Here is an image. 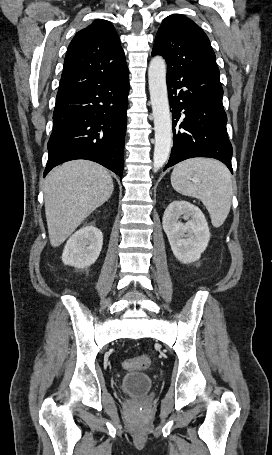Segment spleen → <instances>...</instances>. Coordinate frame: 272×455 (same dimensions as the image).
I'll list each match as a JSON object with an SVG mask.
<instances>
[{
	"label": "spleen",
	"instance_id": "spleen-1",
	"mask_svg": "<svg viewBox=\"0 0 272 455\" xmlns=\"http://www.w3.org/2000/svg\"><path fill=\"white\" fill-rule=\"evenodd\" d=\"M171 185L178 193L201 200L214 227L224 223L233 189L231 174L223 163L206 158L185 160L174 167Z\"/></svg>",
	"mask_w": 272,
	"mask_h": 455
}]
</instances>
